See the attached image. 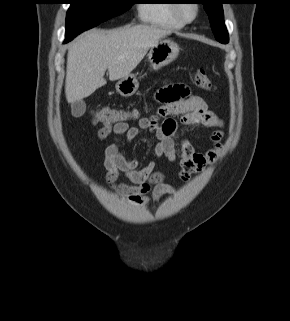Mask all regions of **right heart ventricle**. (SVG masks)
<instances>
[{
	"mask_svg": "<svg viewBox=\"0 0 290 321\" xmlns=\"http://www.w3.org/2000/svg\"><path fill=\"white\" fill-rule=\"evenodd\" d=\"M174 0H150L139 7V17L142 22L171 28L180 29L184 24L174 14L172 3Z\"/></svg>",
	"mask_w": 290,
	"mask_h": 321,
	"instance_id": "right-heart-ventricle-1",
	"label": "right heart ventricle"
}]
</instances>
